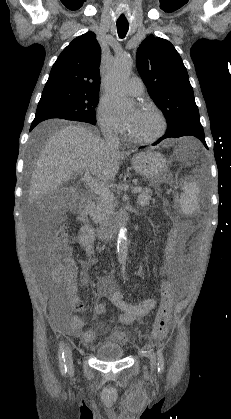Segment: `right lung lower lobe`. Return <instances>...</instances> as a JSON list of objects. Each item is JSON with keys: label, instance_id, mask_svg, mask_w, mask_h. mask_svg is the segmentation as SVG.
Returning a JSON list of instances; mask_svg holds the SVG:
<instances>
[{"label": "right lung lower lobe", "instance_id": "right-lung-lower-lobe-1", "mask_svg": "<svg viewBox=\"0 0 231 419\" xmlns=\"http://www.w3.org/2000/svg\"><path fill=\"white\" fill-rule=\"evenodd\" d=\"M40 122L41 121H33L32 124H31V127H30V131Z\"/></svg>", "mask_w": 231, "mask_h": 419}]
</instances>
